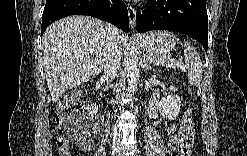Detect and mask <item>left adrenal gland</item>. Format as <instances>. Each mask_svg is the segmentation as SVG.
I'll return each instance as SVG.
<instances>
[{
  "instance_id": "1",
  "label": "left adrenal gland",
  "mask_w": 247,
  "mask_h": 156,
  "mask_svg": "<svg viewBox=\"0 0 247 156\" xmlns=\"http://www.w3.org/2000/svg\"><path fill=\"white\" fill-rule=\"evenodd\" d=\"M143 68L145 69V70H149V69H153V67L151 66V65H149L148 64V62H147V60H143Z\"/></svg>"
}]
</instances>
